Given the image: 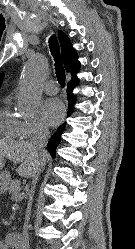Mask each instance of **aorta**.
Listing matches in <instances>:
<instances>
[{"instance_id": "762f6f07", "label": "aorta", "mask_w": 135, "mask_h": 249, "mask_svg": "<svg viewBox=\"0 0 135 249\" xmlns=\"http://www.w3.org/2000/svg\"><path fill=\"white\" fill-rule=\"evenodd\" d=\"M48 61L42 55L31 58L23 69V77L17 94L19 108L34 116L41 105V84L48 74Z\"/></svg>"}]
</instances>
